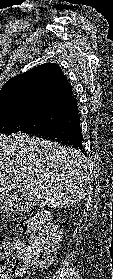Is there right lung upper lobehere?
<instances>
[{
    "instance_id": "obj_1",
    "label": "right lung upper lobe",
    "mask_w": 113,
    "mask_h": 279,
    "mask_svg": "<svg viewBox=\"0 0 113 279\" xmlns=\"http://www.w3.org/2000/svg\"><path fill=\"white\" fill-rule=\"evenodd\" d=\"M78 108L71 84L56 63H45L10 78L0 89V111Z\"/></svg>"
}]
</instances>
